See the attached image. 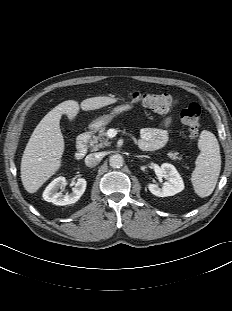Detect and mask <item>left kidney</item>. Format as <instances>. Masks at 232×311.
<instances>
[{"instance_id": "5707ae66", "label": "left kidney", "mask_w": 232, "mask_h": 311, "mask_svg": "<svg viewBox=\"0 0 232 311\" xmlns=\"http://www.w3.org/2000/svg\"><path fill=\"white\" fill-rule=\"evenodd\" d=\"M161 172L168 178V182H165L162 188L156 184H148V189L153 195L157 197H167L184 190L183 179L172 164H162Z\"/></svg>"}]
</instances>
